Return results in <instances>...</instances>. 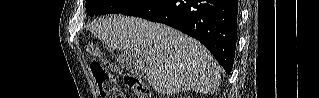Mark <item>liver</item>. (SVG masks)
I'll list each match as a JSON object with an SVG mask.
<instances>
[{"instance_id": "6515ba94", "label": "liver", "mask_w": 319, "mask_h": 98, "mask_svg": "<svg viewBox=\"0 0 319 98\" xmlns=\"http://www.w3.org/2000/svg\"><path fill=\"white\" fill-rule=\"evenodd\" d=\"M89 30L109 48L133 54L158 93L194 90L208 94L219 85L220 68L212 54L169 26L112 15L94 22Z\"/></svg>"}]
</instances>
